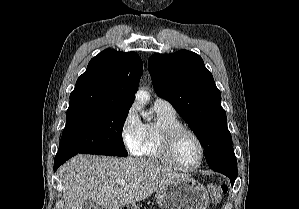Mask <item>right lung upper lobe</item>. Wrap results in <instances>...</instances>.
Segmentation results:
<instances>
[{"mask_svg": "<svg viewBox=\"0 0 299 209\" xmlns=\"http://www.w3.org/2000/svg\"><path fill=\"white\" fill-rule=\"evenodd\" d=\"M142 71V60L136 53L106 49L91 59L78 78L69 107L130 109Z\"/></svg>", "mask_w": 299, "mask_h": 209, "instance_id": "cb5924a9", "label": "right lung upper lobe"}]
</instances>
